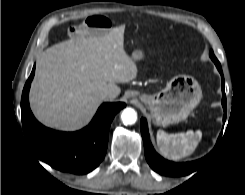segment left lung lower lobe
I'll return each mask as SVG.
<instances>
[{
  "label": "left lung lower lobe",
  "mask_w": 245,
  "mask_h": 195,
  "mask_svg": "<svg viewBox=\"0 0 245 195\" xmlns=\"http://www.w3.org/2000/svg\"><path fill=\"white\" fill-rule=\"evenodd\" d=\"M215 65L218 68V71L220 72L222 78V106L225 113L223 121H225L227 105H226V95L224 90V77H223L221 65L220 64H215ZM141 134L144 141V151H145L146 160L150 165V167L157 173L165 176H184L194 172L197 169V165L200 163L201 160L186 162V163H174L165 160L160 155H158L150 142L148 126L144 118L141 119Z\"/></svg>",
  "instance_id": "obj_1"
}]
</instances>
